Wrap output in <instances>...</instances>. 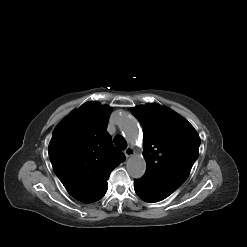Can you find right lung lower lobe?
Returning a JSON list of instances; mask_svg holds the SVG:
<instances>
[{
	"label": "right lung lower lobe",
	"instance_id": "1",
	"mask_svg": "<svg viewBox=\"0 0 247 247\" xmlns=\"http://www.w3.org/2000/svg\"><path fill=\"white\" fill-rule=\"evenodd\" d=\"M107 189H108V184L103 186V188L87 203H91V202H95L97 200H100L105 195V193L107 192Z\"/></svg>",
	"mask_w": 247,
	"mask_h": 247
}]
</instances>
